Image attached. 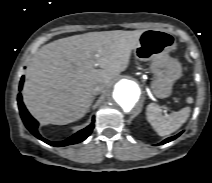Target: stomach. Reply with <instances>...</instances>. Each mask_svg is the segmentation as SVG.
I'll return each instance as SVG.
<instances>
[{
    "label": "stomach",
    "mask_w": 212,
    "mask_h": 183,
    "mask_svg": "<svg viewBox=\"0 0 212 183\" xmlns=\"http://www.w3.org/2000/svg\"><path fill=\"white\" fill-rule=\"evenodd\" d=\"M175 49L174 36L162 29L144 30L134 48V54L138 60L151 62L150 70L155 76L151 89L157 98L169 97L173 84L181 76V64L169 55Z\"/></svg>",
    "instance_id": "1"
}]
</instances>
